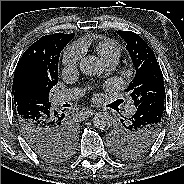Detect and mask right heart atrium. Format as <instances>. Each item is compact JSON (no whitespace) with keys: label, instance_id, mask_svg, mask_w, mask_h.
I'll return each mask as SVG.
<instances>
[{"label":"right heart atrium","instance_id":"d8ad5b80","mask_svg":"<svg viewBox=\"0 0 184 184\" xmlns=\"http://www.w3.org/2000/svg\"><path fill=\"white\" fill-rule=\"evenodd\" d=\"M84 47L81 43H73L65 50L62 62L65 66L74 68L84 54Z\"/></svg>","mask_w":184,"mask_h":184}]
</instances>
